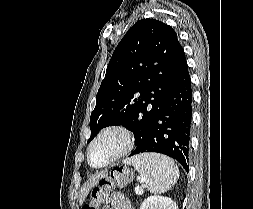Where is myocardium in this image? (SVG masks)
Here are the masks:
<instances>
[{
  "label": "myocardium",
  "instance_id": "1",
  "mask_svg": "<svg viewBox=\"0 0 253 209\" xmlns=\"http://www.w3.org/2000/svg\"><path fill=\"white\" fill-rule=\"evenodd\" d=\"M109 132H118L122 135L123 137V145L121 147V149L115 153L110 159H108L106 162H104L101 165H93L91 163V151L92 148L94 146V144L105 134L109 133ZM134 145V135L132 130L125 124L123 123H111L108 124L106 126H104L103 128H101L98 133L94 136V138L92 139V141L90 142L88 149H87V162L88 164L95 169H99V168H104L112 163H114L115 161L119 160L120 158H122L123 156H125L133 147Z\"/></svg>",
  "mask_w": 253,
  "mask_h": 209
}]
</instances>
